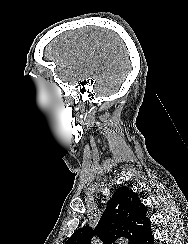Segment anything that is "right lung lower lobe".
<instances>
[{
    "instance_id": "1",
    "label": "right lung lower lobe",
    "mask_w": 188,
    "mask_h": 244,
    "mask_svg": "<svg viewBox=\"0 0 188 244\" xmlns=\"http://www.w3.org/2000/svg\"><path fill=\"white\" fill-rule=\"evenodd\" d=\"M139 244H154V238L151 232V227L144 235L143 239L139 242Z\"/></svg>"
}]
</instances>
